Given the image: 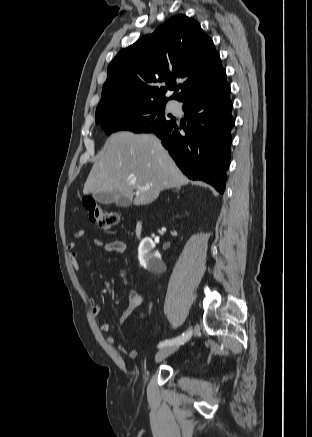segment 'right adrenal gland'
I'll return each instance as SVG.
<instances>
[{
  "label": "right adrenal gland",
  "mask_w": 312,
  "mask_h": 437,
  "mask_svg": "<svg viewBox=\"0 0 312 437\" xmlns=\"http://www.w3.org/2000/svg\"><path fill=\"white\" fill-rule=\"evenodd\" d=\"M180 187H177V192L179 191Z\"/></svg>",
  "instance_id": "1"
}]
</instances>
